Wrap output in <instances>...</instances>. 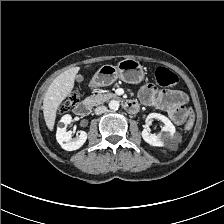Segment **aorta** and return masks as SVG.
Returning a JSON list of instances; mask_svg holds the SVG:
<instances>
[{"label":"aorta","mask_w":224,"mask_h":224,"mask_svg":"<svg viewBox=\"0 0 224 224\" xmlns=\"http://www.w3.org/2000/svg\"><path fill=\"white\" fill-rule=\"evenodd\" d=\"M119 106H120V104H119V101H117V100H111L109 102V108L112 111L118 110Z\"/></svg>","instance_id":"762f6f07"}]
</instances>
